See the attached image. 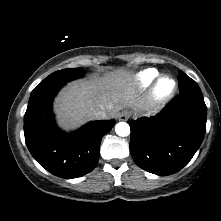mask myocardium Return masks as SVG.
<instances>
[{"instance_id":"1","label":"myocardium","mask_w":221,"mask_h":221,"mask_svg":"<svg viewBox=\"0 0 221 221\" xmlns=\"http://www.w3.org/2000/svg\"><path fill=\"white\" fill-rule=\"evenodd\" d=\"M164 80H169L171 82V88L166 92H161L160 85ZM177 90V82L170 75H160L153 83L151 90V98L154 103L162 105L168 102Z\"/></svg>"}]
</instances>
